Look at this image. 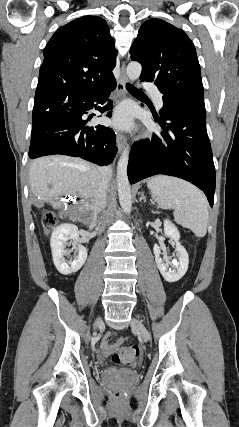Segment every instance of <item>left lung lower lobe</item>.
<instances>
[{"mask_svg": "<svg viewBox=\"0 0 239 427\" xmlns=\"http://www.w3.org/2000/svg\"><path fill=\"white\" fill-rule=\"evenodd\" d=\"M159 114L154 119L163 131L132 146L127 169L130 183L157 174L179 177L199 187L212 207L215 167L205 108L163 95Z\"/></svg>", "mask_w": 239, "mask_h": 427, "instance_id": "0a47b994", "label": "left lung lower lobe"}]
</instances>
